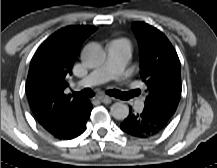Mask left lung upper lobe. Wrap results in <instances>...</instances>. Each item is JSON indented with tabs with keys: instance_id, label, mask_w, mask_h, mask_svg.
Wrapping results in <instances>:
<instances>
[{
	"instance_id": "5c2ea615",
	"label": "left lung upper lobe",
	"mask_w": 217,
	"mask_h": 168,
	"mask_svg": "<svg viewBox=\"0 0 217 168\" xmlns=\"http://www.w3.org/2000/svg\"><path fill=\"white\" fill-rule=\"evenodd\" d=\"M133 29L141 49V78L146 84L145 107L163 111L172 117L181 97L180 61L168 38L144 22Z\"/></svg>"
}]
</instances>
